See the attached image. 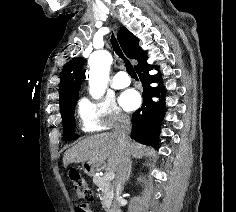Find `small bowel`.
Masks as SVG:
<instances>
[{"mask_svg": "<svg viewBox=\"0 0 236 212\" xmlns=\"http://www.w3.org/2000/svg\"><path fill=\"white\" fill-rule=\"evenodd\" d=\"M80 204H85V199L79 200ZM75 212H90V205H75Z\"/></svg>", "mask_w": 236, "mask_h": 212, "instance_id": "c3829d8e", "label": "small bowel"}]
</instances>
